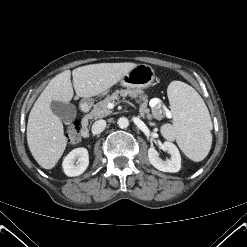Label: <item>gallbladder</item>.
Returning <instances> with one entry per match:
<instances>
[{
    "label": "gallbladder",
    "instance_id": "bac80fb5",
    "mask_svg": "<svg viewBox=\"0 0 247 247\" xmlns=\"http://www.w3.org/2000/svg\"><path fill=\"white\" fill-rule=\"evenodd\" d=\"M51 110L62 122L68 124L76 118V107L71 103L51 102Z\"/></svg>",
    "mask_w": 247,
    "mask_h": 247
}]
</instances>
